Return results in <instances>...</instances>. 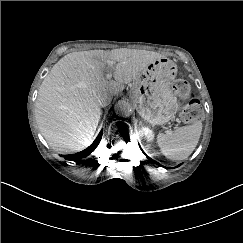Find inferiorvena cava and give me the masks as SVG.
<instances>
[{
    "mask_svg": "<svg viewBox=\"0 0 243 243\" xmlns=\"http://www.w3.org/2000/svg\"><path fill=\"white\" fill-rule=\"evenodd\" d=\"M96 102L98 103L99 106H107L109 103V97L106 92H101L98 93L96 96Z\"/></svg>",
    "mask_w": 243,
    "mask_h": 243,
    "instance_id": "1",
    "label": "inferior vena cava"
}]
</instances>
